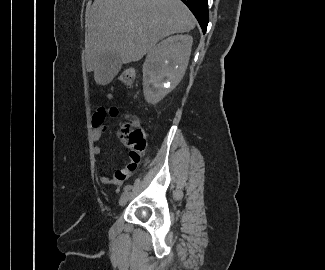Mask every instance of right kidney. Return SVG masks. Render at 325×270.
<instances>
[{
  "label": "right kidney",
  "mask_w": 325,
  "mask_h": 270,
  "mask_svg": "<svg viewBox=\"0 0 325 270\" xmlns=\"http://www.w3.org/2000/svg\"><path fill=\"white\" fill-rule=\"evenodd\" d=\"M192 43V36L176 35L161 41L148 53L143 66V92L148 103L159 102L181 81Z\"/></svg>",
  "instance_id": "1"
}]
</instances>
